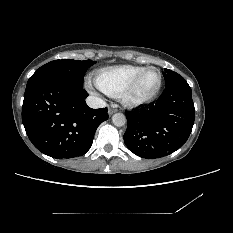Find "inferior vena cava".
I'll list each match as a JSON object with an SVG mask.
<instances>
[{
	"label": "inferior vena cava",
	"instance_id": "602c4592",
	"mask_svg": "<svg viewBox=\"0 0 233 233\" xmlns=\"http://www.w3.org/2000/svg\"><path fill=\"white\" fill-rule=\"evenodd\" d=\"M86 103L91 108H103L106 106V103L101 98L95 96H89L86 99Z\"/></svg>",
	"mask_w": 233,
	"mask_h": 233
}]
</instances>
